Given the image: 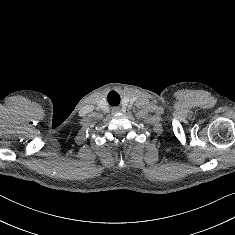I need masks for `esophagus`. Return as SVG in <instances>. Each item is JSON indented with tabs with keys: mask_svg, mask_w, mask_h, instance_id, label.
<instances>
[{
	"mask_svg": "<svg viewBox=\"0 0 235 235\" xmlns=\"http://www.w3.org/2000/svg\"><path fill=\"white\" fill-rule=\"evenodd\" d=\"M119 112V108L115 107L112 109V113L115 114V113H118Z\"/></svg>",
	"mask_w": 235,
	"mask_h": 235,
	"instance_id": "esophagus-1",
	"label": "esophagus"
}]
</instances>
